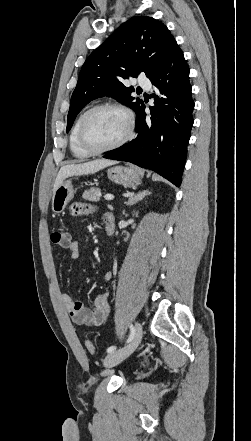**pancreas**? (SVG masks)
<instances>
[{
  "instance_id": "obj_1",
  "label": "pancreas",
  "mask_w": 251,
  "mask_h": 441,
  "mask_svg": "<svg viewBox=\"0 0 251 441\" xmlns=\"http://www.w3.org/2000/svg\"><path fill=\"white\" fill-rule=\"evenodd\" d=\"M100 193H101V191H100V189L98 187H91L89 190H86L83 193L82 197L85 200H89V201H92V202H97V201L100 200V197H99Z\"/></svg>"
}]
</instances>
